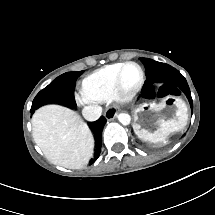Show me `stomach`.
<instances>
[{
    "label": "stomach",
    "instance_id": "stomach-1",
    "mask_svg": "<svg viewBox=\"0 0 215 215\" xmlns=\"http://www.w3.org/2000/svg\"><path fill=\"white\" fill-rule=\"evenodd\" d=\"M188 122V108L176 96L159 101L142 102L133 108V130L138 138L150 143H163L182 131Z\"/></svg>",
    "mask_w": 215,
    "mask_h": 215
}]
</instances>
